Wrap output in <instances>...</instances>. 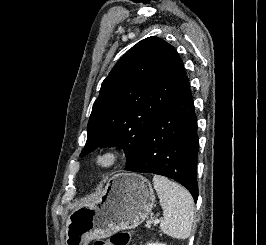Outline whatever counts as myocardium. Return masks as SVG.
Wrapping results in <instances>:
<instances>
[{
	"label": "myocardium",
	"instance_id": "f54148a6",
	"mask_svg": "<svg viewBox=\"0 0 266 245\" xmlns=\"http://www.w3.org/2000/svg\"><path fill=\"white\" fill-rule=\"evenodd\" d=\"M122 156L121 150L116 147H103L92 154L90 165L99 173H109L119 166Z\"/></svg>",
	"mask_w": 266,
	"mask_h": 245
}]
</instances>
